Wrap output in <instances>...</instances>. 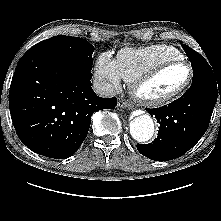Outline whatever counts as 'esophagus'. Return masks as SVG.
<instances>
[{"label": "esophagus", "instance_id": "1", "mask_svg": "<svg viewBox=\"0 0 221 221\" xmlns=\"http://www.w3.org/2000/svg\"><path fill=\"white\" fill-rule=\"evenodd\" d=\"M119 106L124 107V108H128V109H132V107H133L132 103L130 101L124 100V99L119 101Z\"/></svg>", "mask_w": 221, "mask_h": 221}]
</instances>
